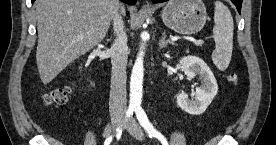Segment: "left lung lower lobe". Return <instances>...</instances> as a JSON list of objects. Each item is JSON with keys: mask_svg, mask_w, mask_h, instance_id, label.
Listing matches in <instances>:
<instances>
[{"mask_svg": "<svg viewBox=\"0 0 276 145\" xmlns=\"http://www.w3.org/2000/svg\"><path fill=\"white\" fill-rule=\"evenodd\" d=\"M165 1H167V0H152L153 3H160V2H165ZM231 1L236 5V8H237L238 12L240 13L242 0H231Z\"/></svg>", "mask_w": 276, "mask_h": 145, "instance_id": "1", "label": "left lung lower lobe"}]
</instances>
